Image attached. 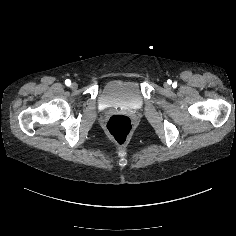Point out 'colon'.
I'll list each match as a JSON object with an SVG mask.
<instances>
[{"label":"colon","instance_id":"colon-1","mask_svg":"<svg viewBox=\"0 0 236 236\" xmlns=\"http://www.w3.org/2000/svg\"><path fill=\"white\" fill-rule=\"evenodd\" d=\"M107 134L119 145L126 143L131 136L133 123L130 117L124 114L111 116L106 123Z\"/></svg>","mask_w":236,"mask_h":236}]
</instances>
